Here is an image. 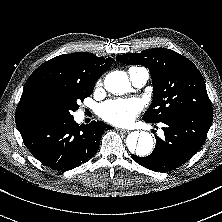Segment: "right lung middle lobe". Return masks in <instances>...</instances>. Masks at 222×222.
<instances>
[{"label":"right lung middle lobe","instance_id":"obj_1","mask_svg":"<svg viewBox=\"0 0 222 222\" xmlns=\"http://www.w3.org/2000/svg\"><path fill=\"white\" fill-rule=\"evenodd\" d=\"M94 86H53L37 98L35 112L72 118V112L79 108L78 102L91 95Z\"/></svg>","mask_w":222,"mask_h":222}]
</instances>
